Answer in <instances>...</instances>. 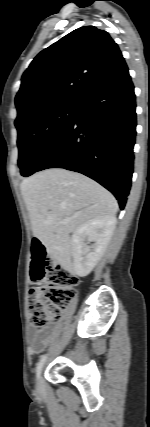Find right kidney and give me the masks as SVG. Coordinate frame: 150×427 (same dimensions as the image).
<instances>
[{
    "label": "right kidney",
    "mask_w": 150,
    "mask_h": 427,
    "mask_svg": "<svg viewBox=\"0 0 150 427\" xmlns=\"http://www.w3.org/2000/svg\"><path fill=\"white\" fill-rule=\"evenodd\" d=\"M116 217L90 220L72 235L73 271L80 277L87 276L101 259L116 227ZM86 241L94 242L90 247Z\"/></svg>",
    "instance_id": "ca27d5eb"
}]
</instances>
